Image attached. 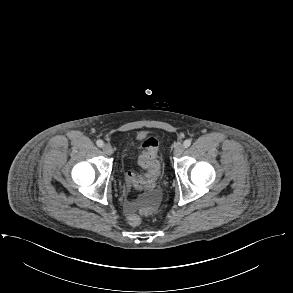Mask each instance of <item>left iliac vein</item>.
Here are the masks:
<instances>
[{
	"label": "left iliac vein",
	"mask_w": 293,
	"mask_h": 293,
	"mask_svg": "<svg viewBox=\"0 0 293 293\" xmlns=\"http://www.w3.org/2000/svg\"><path fill=\"white\" fill-rule=\"evenodd\" d=\"M184 150H185L184 145L178 144L175 146L173 154L175 157H179L183 154Z\"/></svg>",
	"instance_id": "left-iliac-vein-1"
}]
</instances>
